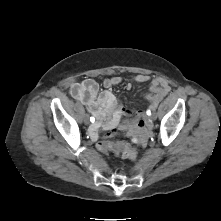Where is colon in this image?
<instances>
[{
  "label": "colon",
  "mask_w": 221,
  "mask_h": 221,
  "mask_svg": "<svg viewBox=\"0 0 221 221\" xmlns=\"http://www.w3.org/2000/svg\"><path fill=\"white\" fill-rule=\"evenodd\" d=\"M143 121H135L130 129V135L134 143L144 144L146 140L145 133L141 129ZM98 149L103 153L112 152L115 155H121L123 158L134 160L137 152L135 147L125 141H100L97 144Z\"/></svg>",
  "instance_id": "5ec220e1"
}]
</instances>
